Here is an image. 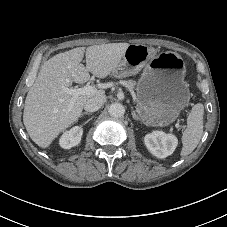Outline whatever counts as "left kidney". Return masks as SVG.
Returning <instances> with one entry per match:
<instances>
[{"mask_svg":"<svg viewBox=\"0 0 227 227\" xmlns=\"http://www.w3.org/2000/svg\"><path fill=\"white\" fill-rule=\"evenodd\" d=\"M147 149L158 158H166L171 155L178 144V139L173 134H166L162 131H154L144 138Z\"/></svg>","mask_w":227,"mask_h":227,"instance_id":"5707ae66","label":"left kidney"}]
</instances>
